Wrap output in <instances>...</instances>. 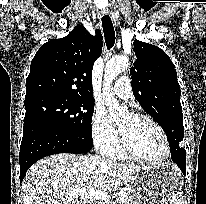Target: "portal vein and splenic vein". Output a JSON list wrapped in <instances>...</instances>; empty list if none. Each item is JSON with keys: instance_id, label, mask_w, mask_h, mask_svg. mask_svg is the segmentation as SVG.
I'll return each instance as SVG.
<instances>
[{"instance_id": "18ae733b", "label": "portal vein and splenic vein", "mask_w": 206, "mask_h": 204, "mask_svg": "<svg viewBox=\"0 0 206 204\" xmlns=\"http://www.w3.org/2000/svg\"><path fill=\"white\" fill-rule=\"evenodd\" d=\"M71 195H77L80 197H85V198H89V199H95V200H99V201H103L104 204L108 203V201L110 200V196L108 195V193L103 192V191H98L95 190L93 188H79V189H75ZM124 198V196L122 194L119 195L118 197V201H121Z\"/></svg>"}]
</instances>
